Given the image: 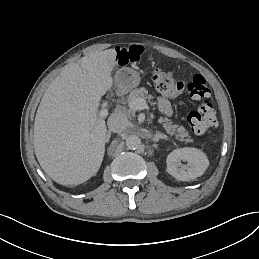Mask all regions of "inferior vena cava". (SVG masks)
<instances>
[{"instance_id":"obj_1","label":"inferior vena cava","mask_w":259,"mask_h":259,"mask_svg":"<svg viewBox=\"0 0 259 259\" xmlns=\"http://www.w3.org/2000/svg\"><path fill=\"white\" fill-rule=\"evenodd\" d=\"M107 125L110 131L115 133H121L124 130H126L128 125V119L122 113H113L108 118Z\"/></svg>"}]
</instances>
